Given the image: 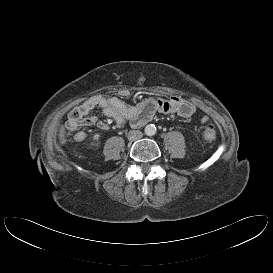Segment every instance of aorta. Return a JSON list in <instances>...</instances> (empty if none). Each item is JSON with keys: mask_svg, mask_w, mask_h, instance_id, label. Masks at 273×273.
Here are the masks:
<instances>
[{"mask_svg": "<svg viewBox=\"0 0 273 273\" xmlns=\"http://www.w3.org/2000/svg\"><path fill=\"white\" fill-rule=\"evenodd\" d=\"M145 133L149 136H152L156 133V127L153 124H149L145 127Z\"/></svg>", "mask_w": 273, "mask_h": 273, "instance_id": "obj_1", "label": "aorta"}]
</instances>
